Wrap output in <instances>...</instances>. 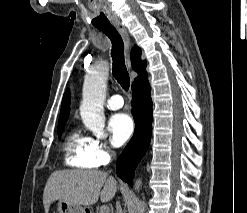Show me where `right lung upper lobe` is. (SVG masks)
Listing matches in <instances>:
<instances>
[{
    "label": "right lung upper lobe",
    "mask_w": 247,
    "mask_h": 213,
    "mask_svg": "<svg viewBox=\"0 0 247 213\" xmlns=\"http://www.w3.org/2000/svg\"><path fill=\"white\" fill-rule=\"evenodd\" d=\"M131 63H132L133 69L138 72V77L135 79V81L147 75L145 71V68H146L145 61H141V50L137 46H134L132 48ZM69 111H70V92L69 90H67L64 93V96L62 99V107H61L58 125L62 123H66L68 116H69Z\"/></svg>",
    "instance_id": "cb5924a9"
}]
</instances>
